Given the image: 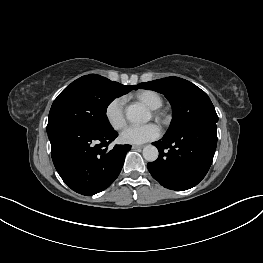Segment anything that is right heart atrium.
I'll return each mask as SVG.
<instances>
[{
	"instance_id": "obj_1",
	"label": "right heart atrium",
	"mask_w": 263,
	"mask_h": 263,
	"mask_svg": "<svg viewBox=\"0 0 263 263\" xmlns=\"http://www.w3.org/2000/svg\"><path fill=\"white\" fill-rule=\"evenodd\" d=\"M125 98L122 96L110 100L104 110L105 118L109 125L115 130H121L126 125Z\"/></svg>"
}]
</instances>
